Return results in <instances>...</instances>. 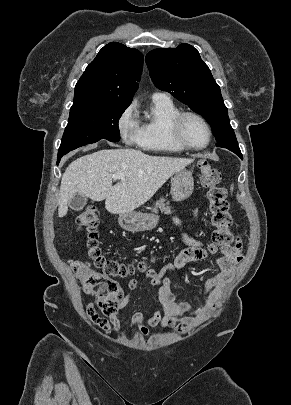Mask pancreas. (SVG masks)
Wrapping results in <instances>:
<instances>
[{
  "label": "pancreas",
  "mask_w": 291,
  "mask_h": 405,
  "mask_svg": "<svg viewBox=\"0 0 291 405\" xmlns=\"http://www.w3.org/2000/svg\"><path fill=\"white\" fill-rule=\"evenodd\" d=\"M165 199L161 198L159 201H157L155 203V207L152 209L153 212H157L158 209L161 210V212L165 213V214H169L171 213V207L169 206V203L166 202L165 203Z\"/></svg>",
  "instance_id": "1"
}]
</instances>
